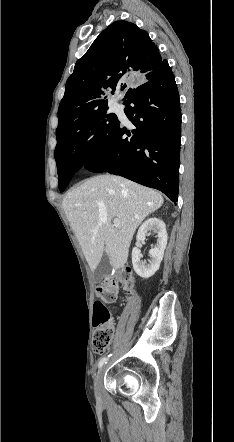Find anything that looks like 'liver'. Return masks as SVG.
<instances>
[{"mask_svg": "<svg viewBox=\"0 0 234 442\" xmlns=\"http://www.w3.org/2000/svg\"><path fill=\"white\" fill-rule=\"evenodd\" d=\"M163 202L155 190L104 174L69 191L62 207L94 272L104 253L113 268L124 266L136 229ZM115 218L123 223L120 228L112 224Z\"/></svg>", "mask_w": 234, "mask_h": 442, "instance_id": "liver-1", "label": "liver"}]
</instances>
